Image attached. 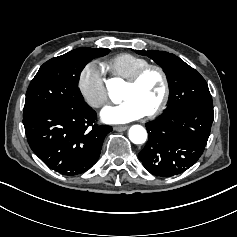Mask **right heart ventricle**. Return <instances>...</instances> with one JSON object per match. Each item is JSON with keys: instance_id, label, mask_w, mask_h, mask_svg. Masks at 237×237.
I'll return each mask as SVG.
<instances>
[{"instance_id": "right-heart-ventricle-1", "label": "right heart ventricle", "mask_w": 237, "mask_h": 237, "mask_svg": "<svg viewBox=\"0 0 237 237\" xmlns=\"http://www.w3.org/2000/svg\"><path fill=\"white\" fill-rule=\"evenodd\" d=\"M149 62L142 57L130 53H120L107 62V67L114 78L128 79Z\"/></svg>"}]
</instances>
